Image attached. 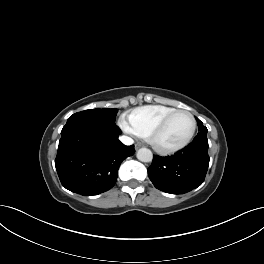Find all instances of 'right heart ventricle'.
Listing matches in <instances>:
<instances>
[{
	"mask_svg": "<svg viewBox=\"0 0 264 264\" xmlns=\"http://www.w3.org/2000/svg\"><path fill=\"white\" fill-rule=\"evenodd\" d=\"M174 110L176 108L166 105H146L132 110L128 115V121L134 134L147 138L151 130Z\"/></svg>",
	"mask_w": 264,
	"mask_h": 264,
	"instance_id": "right-heart-ventricle-1",
	"label": "right heart ventricle"
}]
</instances>
